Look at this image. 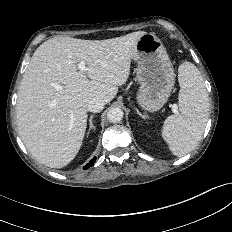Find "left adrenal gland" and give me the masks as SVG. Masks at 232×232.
Returning <instances> with one entry per match:
<instances>
[{"label": "left adrenal gland", "instance_id": "left-adrenal-gland-1", "mask_svg": "<svg viewBox=\"0 0 232 232\" xmlns=\"http://www.w3.org/2000/svg\"><path fill=\"white\" fill-rule=\"evenodd\" d=\"M135 109H136V111H137V114H138L141 118H143V119L146 118L144 115H142V114L139 112V110H138L137 108H135Z\"/></svg>", "mask_w": 232, "mask_h": 232}]
</instances>
